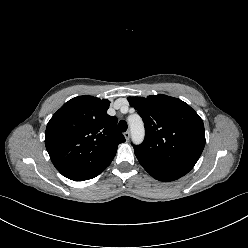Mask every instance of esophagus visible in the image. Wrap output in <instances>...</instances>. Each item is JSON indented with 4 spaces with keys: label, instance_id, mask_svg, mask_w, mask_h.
Returning a JSON list of instances; mask_svg holds the SVG:
<instances>
[{
    "label": "esophagus",
    "instance_id": "34e87169",
    "mask_svg": "<svg viewBox=\"0 0 248 248\" xmlns=\"http://www.w3.org/2000/svg\"><path fill=\"white\" fill-rule=\"evenodd\" d=\"M123 135H124L125 139L128 141L129 138H130V132L129 131H126V132H124Z\"/></svg>",
    "mask_w": 248,
    "mask_h": 248
}]
</instances>
